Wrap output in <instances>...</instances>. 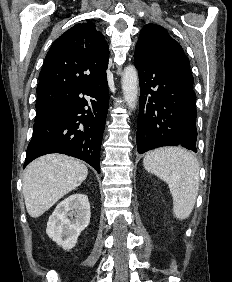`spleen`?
<instances>
[{
	"mask_svg": "<svg viewBox=\"0 0 232 282\" xmlns=\"http://www.w3.org/2000/svg\"><path fill=\"white\" fill-rule=\"evenodd\" d=\"M144 168L165 181L173 197V211L178 219L192 212L199 188V164L181 148H160L143 159Z\"/></svg>",
	"mask_w": 232,
	"mask_h": 282,
	"instance_id": "obj_1",
	"label": "spleen"
}]
</instances>
